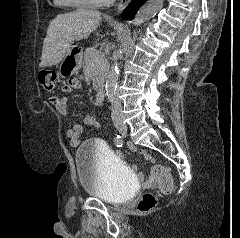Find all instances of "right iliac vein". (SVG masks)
Returning a JSON list of instances; mask_svg holds the SVG:
<instances>
[{
	"label": "right iliac vein",
	"mask_w": 240,
	"mask_h": 238,
	"mask_svg": "<svg viewBox=\"0 0 240 238\" xmlns=\"http://www.w3.org/2000/svg\"><path fill=\"white\" fill-rule=\"evenodd\" d=\"M118 130H119L120 132L124 133L125 130H126V126H124V125H119V126H118Z\"/></svg>",
	"instance_id": "right-iliac-vein-1"
}]
</instances>
